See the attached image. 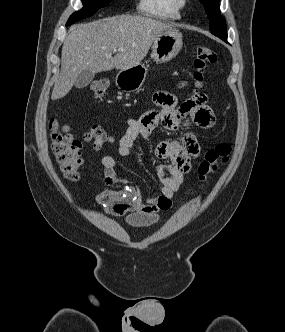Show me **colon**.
Listing matches in <instances>:
<instances>
[{"instance_id":"obj_1","label":"colon","mask_w":285,"mask_h":332,"mask_svg":"<svg viewBox=\"0 0 285 332\" xmlns=\"http://www.w3.org/2000/svg\"><path fill=\"white\" fill-rule=\"evenodd\" d=\"M216 60L217 54L212 48L206 45H197L194 59L195 72L193 74L197 87L203 85L207 69ZM107 88L108 82L104 79L95 80L89 85V91L97 100L104 97ZM49 128L51 130V148L59 170L67 179L76 181L79 178L82 163L81 141L74 138L70 134L69 128L60 125L55 118L50 120ZM85 139L93 142L96 148H102L108 142L109 137L100 126L93 125L86 133ZM230 151L231 148L227 144H220L209 149L198 166L199 181L205 182L220 164L227 162Z\"/></svg>"}]
</instances>
